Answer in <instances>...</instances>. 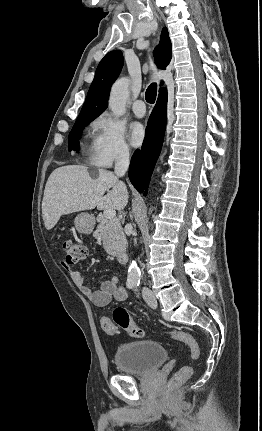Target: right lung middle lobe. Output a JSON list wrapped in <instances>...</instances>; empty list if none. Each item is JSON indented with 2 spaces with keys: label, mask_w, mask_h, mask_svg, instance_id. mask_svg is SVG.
<instances>
[{
  "label": "right lung middle lobe",
  "mask_w": 262,
  "mask_h": 431,
  "mask_svg": "<svg viewBox=\"0 0 262 431\" xmlns=\"http://www.w3.org/2000/svg\"><path fill=\"white\" fill-rule=\"evenodd\" d=\"M93 120L94 118H77L72 128V131L69 134V141H68L69 150L74 149L78 151L80 135L83 129Z\"/></svg>",
  "instance_id": "obj_1"
}]
</instances>
